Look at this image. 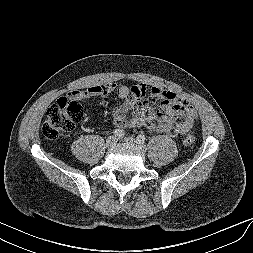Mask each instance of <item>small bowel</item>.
Wrapping results in <instances>:
<instances>
[{
  "label": "small bowel",
  "mask_w": 253,
  "mask_h": 253,
  "mask_svg": "<svg viewBox=\"0 0 253 253\" xmlns=\"http://www.w3.org/2000/svg\"><path fill=\"white\" fill-rule=\"evenodd\" d=\"M116 90L120 104L113 108V124L118 129L143 127L151 133L171 137L188 134L197 120V112L189 101L171 90L161 87L147 89L145 84L121 85L103 83L68 94L74 100L106 97ZM153 101L158 102L153 105Z\"/></svg>",
  "instance_id": "1"
}]
</instances>
